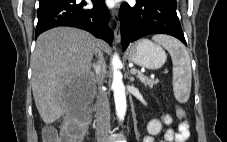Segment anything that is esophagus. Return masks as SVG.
Segmentation results:
<instances>
[{
    "mask_svg": "<svg viewBox=\"0 0 227 142\" xmlns=\"http://www.w3.org/2000/svg\"><path fill=\"white\" fill-rule=\"evenodd\" d=\"M112 20L115 23V28H114V37H115V41L117 43L120 42L121 40V34H120V28H119V16H118V11L117 10H113L112 11Z\"/></svg>",
    "mask_w": 227,
    "mask_h": 142,
    "instance_id": "1",
    "label": "esophagus"
}]
</instances>
